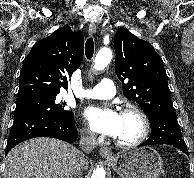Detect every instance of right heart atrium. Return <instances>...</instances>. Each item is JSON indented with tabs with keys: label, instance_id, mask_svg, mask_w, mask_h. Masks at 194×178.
I'll return each instance as SVG.
<instances>
[{
	"label": "right heart atrium",
	"instance_id": "d8ad5b80",
	"mask_svg": "<svg viewBox=\"0 0 194 178\" xmlns=\"http://www.w3.org/2000/svg\"><path fill=\"white\" fill-rule=\"evenodd\" d=\"M81 136L84 140L88 142H92L95 140V135L93 134L89 127H83L81 129Z\"/></svg>",
	"mask_w": 194,
	"mask_h": 178
}]
</instances>
